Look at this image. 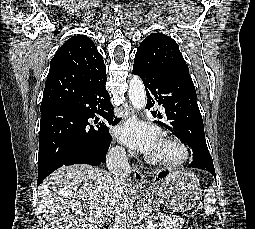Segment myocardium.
I'll list each match as a JSON object with an SVG mask.
<instances>
[{
    "label": "myocardium",
    "mask_w": 255,
    "mask_h": 229,
    "mask_svg": "<svg viewBox=\"0 0 255 229\" xmlns=\"http://www.w3.org/2000/svg\"><path fill=\"white\" fill-rule=\"evenodd\" d=\"M161 141L171 146L176 154L172 157L149 155L147 159L150 163L164 167H178L188 160L189 149L181 140L172 136H164Z\"/></svg>",
    "instance_id": "obj_1"
}]
</instances>
